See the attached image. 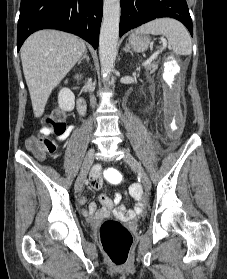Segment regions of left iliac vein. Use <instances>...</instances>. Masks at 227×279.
Returning <instances> with one entry per match:
<instances>
[{"mask_svg": "<svg viewBox=\"0 0 227 279\" xmlns=\"http://www.w3.org/2000/svg\"><path fill=\"white\" fill-rule=\"evenodd\" d=\"M123 153V160L142 178V186L146 192L151 189V182L141 163L125 148L118 147Z\"/></svg>", "mask_w": 227, "mask_h": 279, "instance_id": "4c4485c4", "label": "left iliac vein"}]
</instances>
